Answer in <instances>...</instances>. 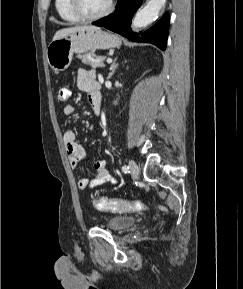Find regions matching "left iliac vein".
<instances>
[{
	"mask_svg": "<svg viewBox=\"0 0 243 289\" xmlns=\"http://www.w3.org/2000/svg\"><path fill=\"white\" fill-rule=\"evenodd\" d=\"M130 173L134 178L139 176V168L134 160L129 161Z\"/></svg>",
	"mask_w": 243,
	"mask_h": 289,
	"instance_id": "obj_1",
	"label": "left iliac vein"
}]
</instances>
